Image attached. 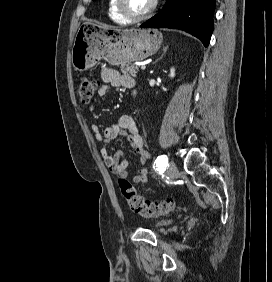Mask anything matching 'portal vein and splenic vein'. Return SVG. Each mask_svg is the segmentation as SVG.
I'll use <instances>...</instances> for the list:
<instances>
[{
  "label": "portal vein and splenic vein",
  "mask_w": 272,
  "mask_h": 282,
  "mask_svg": "<svg viewBox=\"0 0 272 282\" xmlns=\"http://www.w3.org/2000/svg\"><path fill=\"white\" fill-rule=\"evenodd\" d=\"M146 69V66L145 65H142L141 66V70H145Z\"/></svg>",
  "instance_id": "18ae733b"
}]
</instances>
